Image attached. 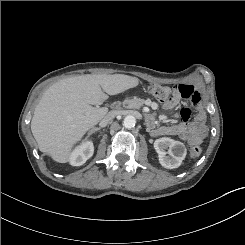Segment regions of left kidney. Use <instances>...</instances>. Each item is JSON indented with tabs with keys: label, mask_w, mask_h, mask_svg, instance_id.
Listing matches in <instances>:
<instances>
[{
	"label": "left kidney",
	"mask_w": 245,
	"mask_h": 245,
	"mask_svg": "<svg viewBox=\"0 0 245 245\" xmlns=\"http://www.w3.org/2000/svg\"><path fill=\"white\" fill-rule=\"evenodd\" d=\"M168 148L169 150L166 152ZM154 149L158 154L159 163L167 169L178 168L186 157V148L183 143L168 137L156 139ZM172 149H174V153Z\"/></svg>",
	"instance_id": "5707ae66"
}]
</instances>
